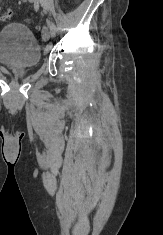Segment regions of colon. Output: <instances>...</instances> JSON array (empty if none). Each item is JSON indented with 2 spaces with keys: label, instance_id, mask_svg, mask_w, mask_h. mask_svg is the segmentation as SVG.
Instances as JSON below:
<instances>
[{
  "label": "colon",
  "instance_id": "obj_1",
  "mask_svg": "<svg viewBox=\"0 0 163 235\" xmlns=\"http://www.w3.org/2000/svg\"><path fill=\"white\" fill-rule=\"evenodd\" d=\"M13 16V12L11 10H7L2 16H0L1 20H9Z\"/></svg>",
  "mask_w": 163,
  "mask_h": 235
}]
</instances>
